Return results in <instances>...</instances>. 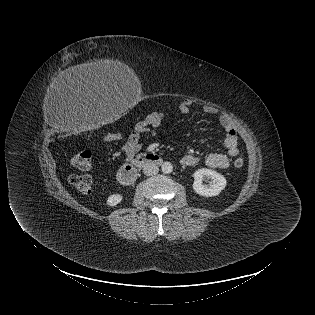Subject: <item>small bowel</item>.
<instances>
[{
  "label": "small bowel",
  "mask_w": 315,
  "mask_h": 315,
  "mask_svg": "<svg viewBox=\"0 0 315 315\" xmlns=\"http://www.w3.org/2000/svg\"><path fill=\"white\" fill-rule=\"evenodd\" d=\"M191 107L192 102L190 100H184L180 103L178 112L180 114H187ZM203 111L209 115H218L219 123L226 131L224 140L226 153H211L204 158V162L208 167L225 169L229 166L230 159L239 154L236 129L230 117L225 113H219L215 107L207 105L203 108ZM164 118V113L155 111L135 124L128 139L122 146V152L126 158H131L138 153L143 147L144 140L155 136L156 129L161 125ZM200 161L201 159L194 155H185L181 159V163L185 166H192Z\"/></svg>",
  "instance_id": "1"
}]
</instances>
